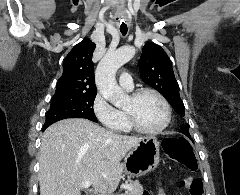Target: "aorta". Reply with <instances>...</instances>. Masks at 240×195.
<instances>
[{
	"instance_id": "obj_1",
	"label": "aorta",
	"mask_w": 240,
	"mask_h": 195,
	"mask_svg": "<svg viewBox=\"0 0 240 195\" xmlns=\"http://www.w3.org/2000/svg\"><path fill=\"white\" fill-rule=\"evenodd\" d=\"M135 52L136 50L132 46L119 48L116 52H107L96 68V88L103 98L108 99L114 105H120L121 99L126 96L123 90L119 88L115 74L121 66L132 60Z\"/></svg>"
}]
</instances>
